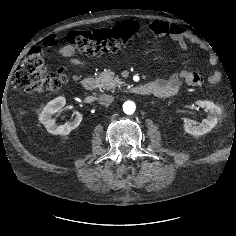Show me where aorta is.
I'll use <instances>...</instances> for the list:
<instances>
[{
	"instance_id": "762f6f07",
	"label": "aorta",
	"mask_w": 236,
	"mask_h": 236,
	"mask_svg": "<svg viewBox=\"0 0 236 236\" xmlns=\"http://www.w3.org/2000/svg\"><path fill=\"white\" fill-rule=\"evenodd\" d=\"M135 109H136V105L133 101H125L123 103V111L124 113L130 115V114H133L135 112Z\"/></svg>"
}]
</instances>
